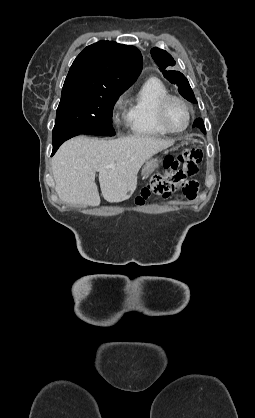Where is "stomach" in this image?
Masks as SVG:
<instances>
[{"label":"stomach","instance_id":"obj_1","mask_svg":"<svg viewBox=\"0 0 255 418\" xmlns=\"http://www.w3.org/2000/svg\"><path fill=\"white\" fill-rule=\"evenodd\" d=\"M158 167V160L152 159L144 165L142 169V176L143 178H147L150 174H152L155 169Z\"/></svg>","mask_w":255,"mask_h":418}]
</instances>
